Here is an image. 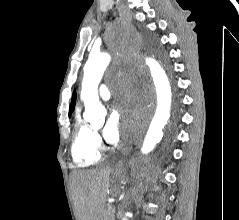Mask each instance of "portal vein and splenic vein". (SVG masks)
<instances>
[{
  "mask_svg": "<svg viewBox=\"0 0 239 220\" xmlns=\"http://www.w3.org/2000/svg\"><path fill=\"white\" fill-rule=\"evenodd\" d=\"M115 210H116L115 207H113L112 211H113L114 213H115Z\"/></svg>",
  "mask_w": 239,
  "mask_h": 220,
  "instance_id": "18ae733b",
  "label": "portal vein and splenic vein"
}]
</instances>
